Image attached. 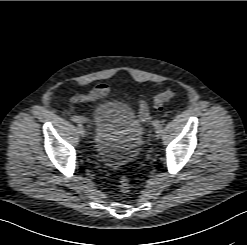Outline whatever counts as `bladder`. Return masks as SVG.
Wrapping results in <instances>:
<instances>
[{
	"label": "bladder",
	"instance_id": "bladder-1",
	"mask_svg": "<svg viewBox=\"0 0 247 245\" xmlns=\"http://www.w3.org/2000/svg\"><path fill=\"white\" fill-rule=\"evenodd\" d=\"M93 121L95 151L106 165L127 164L142 152L144 131L129 104L117 100L99 103Z\"/></svg>",
	"mask_w": 247,
	"mask_h": 245
}]
</instances>
